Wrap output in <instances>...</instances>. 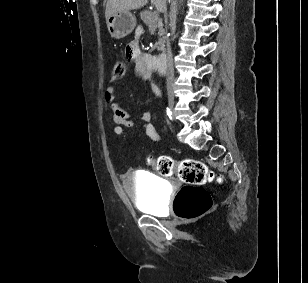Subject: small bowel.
<instances>
[{
    "instance_id": "obj_1",
    "label": "small bowel",
    "mask_w": 308,
    "mask_h": 283,
    "mask_svg": "<svg viewBox=\"0 0 308 283\" xmlns=\"http://www.w3.org/2000/svg\"><path fill=\"white\" fill-rule=\"evenodd\" d=\"M140 31V29H137V36L140 34ZM125 55L135 63V76L138 79L147 80L149 78V66L146 57L140 50L137 40L131 41L126 45ZM104 99L112 113L111 125L113 132L116 135L124 136L125 129L132 127L134 125V121L131 114L119 106L113 85H107L105 87ZM140 119V131L151 140L158 141L160 136L154 126L150 123V114L143 112Z\"/></svg>"
}]
</instances>
